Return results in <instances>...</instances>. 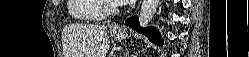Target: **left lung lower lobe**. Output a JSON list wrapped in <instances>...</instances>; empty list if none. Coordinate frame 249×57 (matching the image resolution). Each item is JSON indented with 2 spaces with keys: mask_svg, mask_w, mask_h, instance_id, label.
Instances as JSON below:
<instances>
[{
  "mask_svg": "<svg viewBox=\"0 0 249 57\" xmlns=\"http://www.w3.org/2000/svg\"><path fill=\"white\" fill-rule=\"evenodd\" d=\"M125 24L133 28L134 30L144 34L151 40L153 43L162 46L163 39L159 32L154 27L142 28L139 25V19L137 16H133L125 21Z\"/></svg>",
  "mask_w": 249,
  "mask_h": 57,
  "instance_id": "0a47b994",
  "label": "left lung lower lobe"
}]
</instances>
